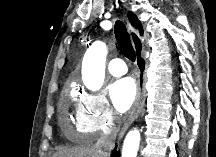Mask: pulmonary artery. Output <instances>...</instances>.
Here are the masks:
<instances>
[{
	"mask_svg": "<svg viewBox=\"0 0 216 157\" xmlns=\"http://www.w3.org/2000/svg\"><path fill=\"white\" fill-rule=\"evenodd\" d=\"M108 70L113 76H122L127 72V67L122 59L114 58L109 62Z\"/></svg>",
	"mask_w": 216,
	"mask_h": 157,
	"instance_id": "e3ab8cb5",
	"label": "pulmonary artery"
}]
</instances>
